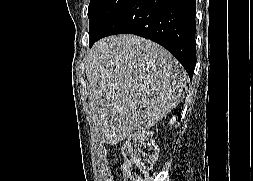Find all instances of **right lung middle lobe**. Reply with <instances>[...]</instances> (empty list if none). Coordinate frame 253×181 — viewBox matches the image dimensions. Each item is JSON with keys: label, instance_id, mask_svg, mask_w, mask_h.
<instances>
[{"label": "right lung middle lobe", "instance_id": "1", "mask_svg": "<svg viewBox=\"0 0 253 181\" xmlns=\"http://www.w3.org/2000/svg\"><path fill=\"white\" fill-rule=\"evenodd\" d=\"M131 0H90L89 35L100 33Z\"/></svg>", "mask_w": 253, "mask_h": 181}]
</instances>
